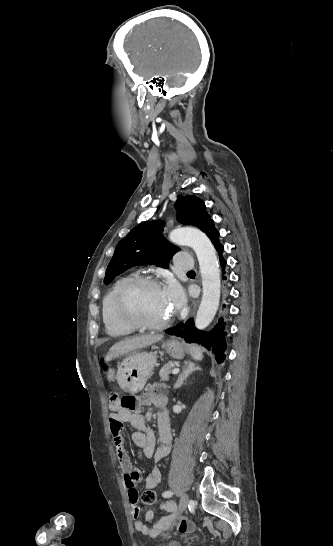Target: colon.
Returning <instances> with one entry per match:
<instances>
[{"mask_svg": "<svg viewBox=\"0 0 333 546\" xmlns=\"http://www.w3.org/2000/svg\"><path fill=\"white\" fill-rule=\"evenodd\" d=\"M110 402L113 406L121 405L127 408H134L136 405L135 398L131 396L124 397L119 401L118 397L114 395ZM141 501L145 505H153L157 502V495L153 490L147 489L142 493Z\"/></svg>", "mask_w": 333, "mask_h": 546, "instance_id": "colon-1", "label": "colon"}]
</instances>
